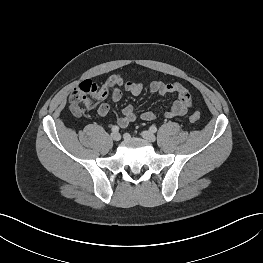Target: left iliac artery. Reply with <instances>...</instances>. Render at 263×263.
<instances>
[{
  "mask_svg": "<svg viewBox=\"0 0 263 263\" xmlns=\"http://www.w3.org/2000/svg\"><path fill=\"white\" fill-rule=\"evenodd\" d=\"M149 130L153 133L157 131V127L155 125L150 126Z\"/></svg>",
  "mask_w": 263,
  "mask_h": 263,
  "instance_id": "1",
  "label": "left iliac artery"
}]
</instances>
